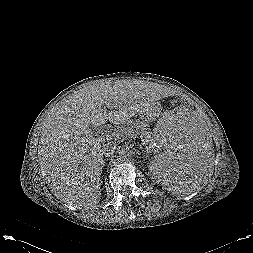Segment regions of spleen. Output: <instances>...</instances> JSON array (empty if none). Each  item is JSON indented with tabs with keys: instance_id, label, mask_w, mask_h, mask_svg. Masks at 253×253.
Wrapping results in <instances>:
<instances>
[{
	"instance_id": "1",
	"label": "spleen",
	"mask_w": 253,
	"mask_h": 253,
	"mask_svg": "<svg viewBox=\"0 0 253 253\" xmlns=\"http://www.w3.org/2000/svg\"><path fill=\"white\" fill-rule=\"evenodd\" d=\"M151 166L156 181L185 197L204 186L212 171L211 141L200 108L181 101L151 128Z\"/></svg>"
}]
</instances>
